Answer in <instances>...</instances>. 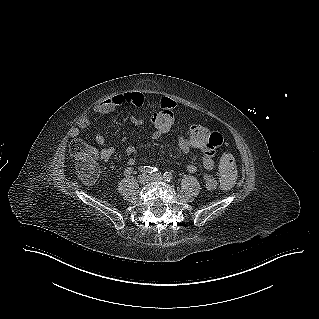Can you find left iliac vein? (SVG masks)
Instances as JSON below:
<instances>
[{"label": "left iliac vein", "instance_id": "obj_1", "mask_svg": "<svg viewBox=\"0 0 319 319\" xmlns=\"http://www.w3.org/2000/svg\"><path fill=\"white\" fill-rule=\"evenodd\" d=\"M163 179H164V177L159 173H155V174L150 175V180H152V181H162Z\"/></svg>", "mask_w": 319, "mask_h": 319}]
</instances>
